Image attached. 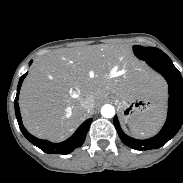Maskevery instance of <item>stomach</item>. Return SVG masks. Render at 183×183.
Segmentation results:
<instances>
[{
  "label": "stomach",
  "mask_w": 183,
  "mask_h": 183,
  "mask_svg": "<svg viewBox=\"0 0 183 183\" xmlns=\"http://www.w3.org/2000/svg\"><path fill=\"white\" fill-rule=\"evenodd\" d=\"M113 98L118 105L122 120L129 124L135 123L159 106L149 96L120 97L115 94Z\"/></svg>",
  "instance_id": "1"
}]
</instances>
